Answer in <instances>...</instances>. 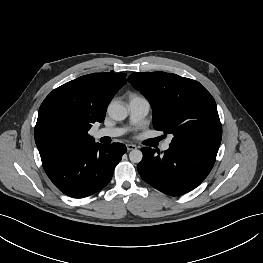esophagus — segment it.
Segmentation results:
<instances>
[{"instance_id": "34e87169", "label": "esophagus", "mask_w": 263, "mask_h": 263, "mask_svg": "<svg viewBox=\"0 0 263 263\" xmlns=\"http://www.w3.org/2000/svg\"><path fill=\"white\" fill-rule=\"evenodd\" d=\"M126 147L128 151L137 149V146L134 144H127Z\"/></svg>"}]
</instances>
